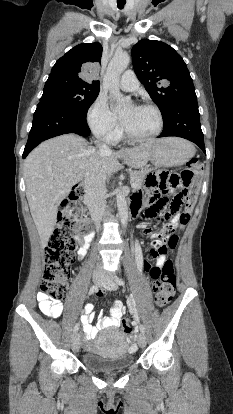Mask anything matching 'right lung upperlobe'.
<instances>
[{
	"label": "right lung upper lobe",
	"mask_w": 233,
	"mask_h": 414,
	"mask_svg": "<svg viewBox=\"0 0 233 414\" xmlns=\"http://www.w3.org/2000/svg\"><path fill=\"white\" fill-rule=\"evenodd\" d=\"M102 46L100 43H82L69 50L53 66L49 78L59 77L69 80L99 85V81L88 82L82 79L85 67L92 63H101Z\"/></svg>",
	"instance_id": "cb5924a9"
}]
</instances>
